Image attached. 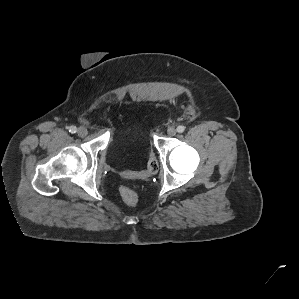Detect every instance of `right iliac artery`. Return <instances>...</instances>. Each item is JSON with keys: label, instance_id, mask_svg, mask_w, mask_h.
Wrapping results in <instances>:
<instances>
[{"label": "right iliac artery", "instance_id": "obj_1", "mask_svg": "<svg viewBox=\"0 0 299 299\" xmlns=\"http://www.w3.org/2000/svg\"><path fill=\"white\" fill-rule=\"evenodd\" d=\"M69 132L76 133L77 132V128L75 126H70Z\"/></svg>", "mask_w": 299, "mask_h": 299}]
</instances>
